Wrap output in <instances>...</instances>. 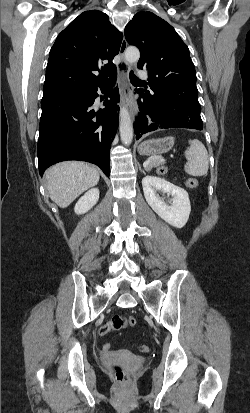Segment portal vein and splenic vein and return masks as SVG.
I'll return each mask as SVG.
<instances>
[{"mask_svg":"<svg viewBox=\"0 0 250 413\" xmlns=\"http://www.w3.org/2000/svg\"><path fill=\"white\" fill-rule=\"evenodd\" d=\"M157 160H159V161H163L162 159H157Z\"/></svg>","mask_w":250,"mask_h":413,"instance_id":"1","label":"portal vein and splenic vein"}]
</instances>
